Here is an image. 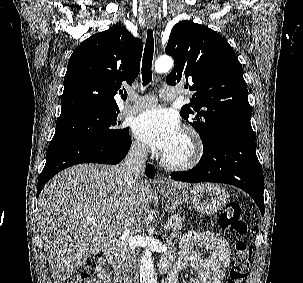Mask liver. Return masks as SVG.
I'll return each mask as SVG.
<instances>
[{"mask_svg":"<svg viewBox=\"0 0 303 283\" xmlns=\"http://www.w3.org/2000/svg\"><path fill=\"white\" fill-rule=\"evenodd\" d=\"M119 166L80 164L52 178L38 199V220L54 283L110 250L121 228L139 221L152 199L143 176L130 186ZM173 190L187 184L167 181Z\"/></svg>","mask_w":303,"mask_h":283,"instance_id":"1","label":"liver"}]
</instances>
